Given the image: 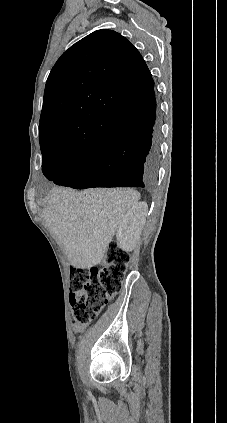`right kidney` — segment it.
<instances>
[{
	"label": "right kidney",
	"instance_id": "obj_1",
	"mask_svg": "<svg viewBox=\"0 0 227 423\" xmlns=\"http://www.w3.org/2000/svg\"><path fill=\"white\" fill-rule=\"evenodd\" d=\"M148 213L146 202H138L135 206H131L122 217L116 229V239L119 247L124 251H132L134 249L145 225Z\"/></svg>",
	"mask_w": 227,
	"mask_h": 423
}]
</instances>
